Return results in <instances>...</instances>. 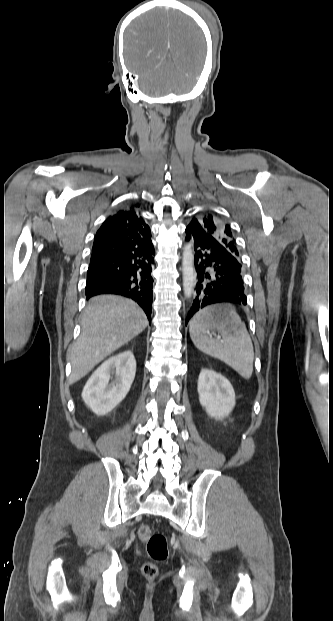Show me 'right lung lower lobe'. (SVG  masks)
I'll return each instance as SVG.
<instances>
[{
	"label": "right lung lower lobe",
	"mask_w": 333,
	"mask_h": 621,
	"mask_svg": "<svg viewBox=\"0 0 333 621\" xmlns=\"http://www.w3.org/2000/svg\"><path fill=\"white\" fill-rule=\"evenodd\" d=\"M154 247L125 250L104 247L92 251L87 271V299L98 294H118L136 301L151 321Z\"/></svg>",
	"instance_id": "right-lung-lower-lobe-1"
}]
</instances>
